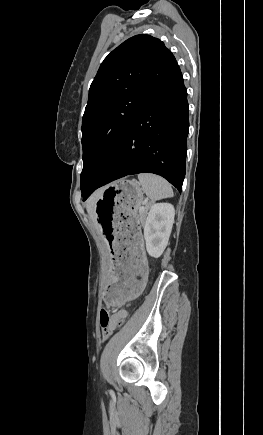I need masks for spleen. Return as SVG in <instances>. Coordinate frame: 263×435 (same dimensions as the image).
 I'll return each mask as SVG.
<instances>
[{
	"label": "spleen",
	"instance_id": "1",
	"mask_svg": "<svg viewBox=\"0 0 263 435\" xmlns=\"http://www.w3.org/2000/svg\"><path fill=\"white\" fill-rule=\"evenodd\" d=\"M138 179L144 193L153 201L173 196L171 185L161 176L141 173Z\"/></svg>",
	"mask_w": 263,
	"mask_h": 435
}]
</instances>
